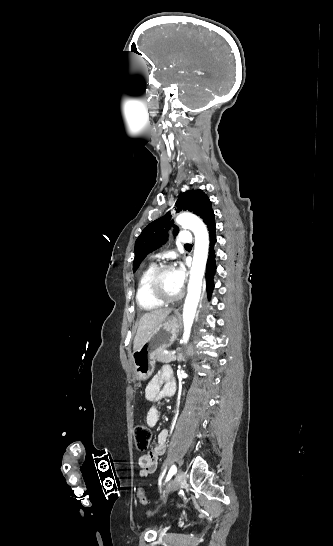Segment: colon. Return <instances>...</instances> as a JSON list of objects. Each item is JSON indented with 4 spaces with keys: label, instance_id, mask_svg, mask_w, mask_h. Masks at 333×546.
I'll list each match as a JSON object with an SVG mask.
<instances>
[{
    "label": "colon",
    "instance_id": "1",
    "mask_svg": "<svg viewBox=\"0 0 333 546\" xmlns=\"http://www.w3.org/2000/svg\"><path fill=\"white\" fill-rule=\"evenodd\" d=\"M152 438V432L149 427L145 425H138L134 429V442L137 450L145 451L150 444ZM137 498L142 505H147V499L143 488L137 490Z\"/></svg>",
    "mask_w": 333,
    "mask_h": 546
}]
</instances>
